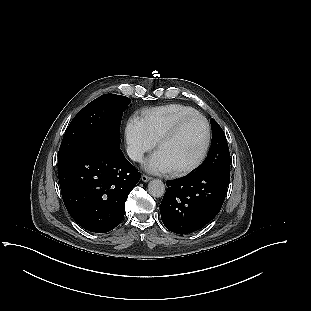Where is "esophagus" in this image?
<instances>
[{
    "label": "esophagus",
    "mask_w": 311,
    "mask_h": 311,
    "mask_svg": "<svg viewBox=\"0 0 311 311\" xmlns=\"http://www.w3.org/2000/svg\"><path fill=\"white\" fill-rule=\"evenodd\" d=\"M151 179V177H149V176H147V175H142L141 176V180L143 181V182H148L149 180Z\"/></svg>",
    "instance_id": "obj_1"
}]
</instances>
